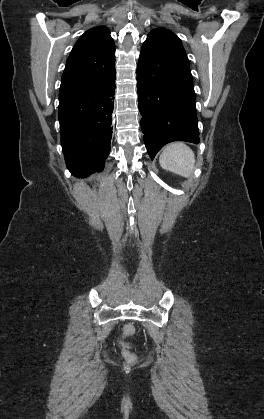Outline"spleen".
<instances>
[{"label":"spleen","instance_id":"1","mask_svg":"<svg viewBox=\"0 0 264 419\" xmlns=\"http://www.w3.org/2000/svg\"><path fill=\"white\" fill-rule=\"evenodd\" d=\"M159 163L163 169L188 178L195 168V155L186 144L175 142L164 148Z\"/></svg>","mask_w":264,"mask_h":419}]
</instances>
